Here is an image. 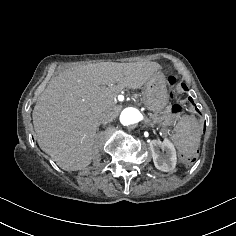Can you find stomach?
Here are the masks:
<instances>
[{"mask_svg":"<svg viewBox=\"0 0 236 236\" xmlns=\"http://www.w3.org/2000/svg\"><path fill=\"white\" fill-rule=\"evenodd\" d=\"M143 102L145 106L154 112H159L165 108L169 102L165 76L162 73L151 78L145 83Z\"/></svg>","mask_w":236,"mask_h":236,"instance_id":"1","label":"stomach"}]
</instances>
